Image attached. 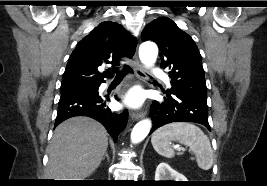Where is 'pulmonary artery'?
Here are the masks:
<instances>
[{"mask_svg":"<svg viewBox=\"0 0 267 186\" xmlns=\"http://www.w3.org/2000/svg\"><path fill=\"white\" fill-rule=\"evenodd\" d=\"M154 74L158 77L167 78L166 75L159 69L154 70ZM106 84H103L102 87H105Z\"/></svg>","mask_w":267,"mask_h":186,"instance_id":"1","label":"pulmonary artery"}]
</instances>
